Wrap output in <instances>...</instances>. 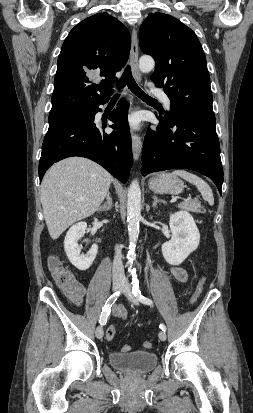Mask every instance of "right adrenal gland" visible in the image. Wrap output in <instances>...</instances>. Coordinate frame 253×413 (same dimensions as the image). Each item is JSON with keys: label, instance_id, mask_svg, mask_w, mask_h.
Listing matches in <instances>:
<instances>
[{"label": "right adrenal gland", "instance_id": "obj_1", "mask_svg": "<svg viewBox=\"0 0 253 413\" xmlns=\"http://www.w3.org/2000/svg\"><path fill=\"white\" fill-rule=\"evenodd\" d=\"M112 208V197H111V195H110V192H108L107 193V196H106V202H105V204L103 205V206H101L100 208H98V212H105V211H108V210H110Z\"/></svg>", "mask_w": 253, "mask_h": 413}]
</instances>
